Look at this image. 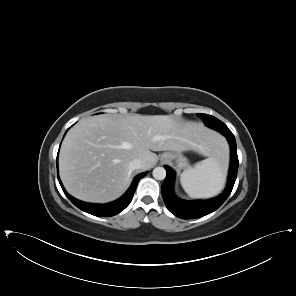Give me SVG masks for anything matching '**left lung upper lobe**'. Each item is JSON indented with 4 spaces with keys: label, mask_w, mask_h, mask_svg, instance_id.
<instances>
[{
    "label": "left lung upper lobe",
    "mask_w": 296,
    "mask_h": 296,
    "mask_svg": "<svg viewBox=\"0 0 296 296\" xmlns=\"http://www.w3.org/2000/svg\"><path fill=\"white\" fill-rule=\"evenodd\" d=\"M197 116L199 118L202 119V121L209 127L214 128L218 131L221 130H229V128L223 123L221 122L219 119L215 118L214 116H210L207 114H197Z\"/></svg>",
    "instance_id": "1"
}]
</instances>
